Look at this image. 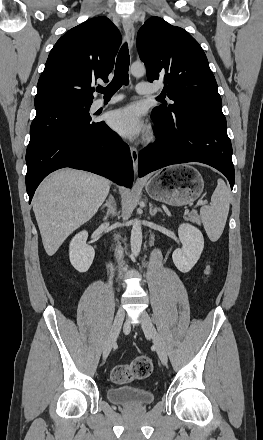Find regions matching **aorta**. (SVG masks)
Instances as JSON below:
<instances>
[{
	"mask_svg": "<svg viewBox=\"0 0 263 440\" xmlns=\"http://www.w3.org/2000/svg\"><path fill=\"white\" fill-rule=\"evenodd\" d=\"M130 72L135 77H142L146 73L144 64L133 63L130 67ZM142 245V229L139 220L133 221L131 230V251L134 257H137L140 253Z\"/></svg>",
	"mask_w": 263,
	"mask_h": 440,
	"instance_id": "1",
	"label": "aorta"
}]
</instances>
